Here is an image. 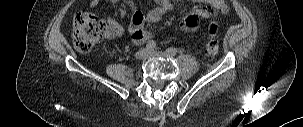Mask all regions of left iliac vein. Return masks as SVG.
Here are the masks:
<instances>
[{"label":"left iliac vein","mask_w":303,"mask_h":127,"mask_svg":"<svg viewBox=\"0 0 303 127\" xmlns=\"http://www.w3.org/2000/svg\"><path fill=\"white\" fill-rule=\"evenodd\" d=\"M168 56L170 55H168L166 52H161L157 50L148 51V57H168Z\"/></svg>","instance_id":"1"}]
</instances>
